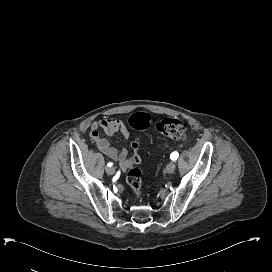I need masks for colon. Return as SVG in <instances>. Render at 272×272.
Wrapping results in <instances>:
<instances>
[{
    "label": "colon",
    "instance_id": "obj_1",
    "mask_svg": "<svg viewBox=\"0 0 272 272\" xmlns=\"http://www.w3.org/2000/svg\"><path fill=\"white\" fill-rule=\"evenodd\" d=\"M128 123L136 131H143L149 128L151 119L147 114H133ZM156 129L162 135L176 140H185L187 137V124L176 118H164L156 124ZM127 183L132 191L140 197L141 191V172L138 168H131L127 173Z\"/></svg>",
    "mask_w": 272,
    "mask_h": 272
}]
</instances>
